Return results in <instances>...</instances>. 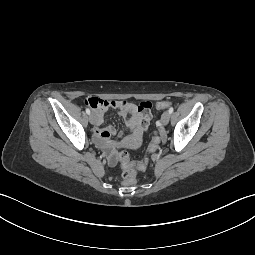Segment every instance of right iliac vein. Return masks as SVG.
I'll use <instances>...</instances> for the list:
<instances>
[{"instance_id": "right-iliac-vein-1", "label": "right iliac vein", "mask_w": 255, "mask_h": 255, "mask_svg": "<svg viewBox=\"0 0 255 255\" xmlns=\"http://www.w3.org/2000/svg\"><path fill=\"white\" fill-rule=\"evenodd\" d=\"M95 121H96L95 115H94V114H90V115H89V122H90L91 124H95Z\"/></svg>"}]
</instances>
